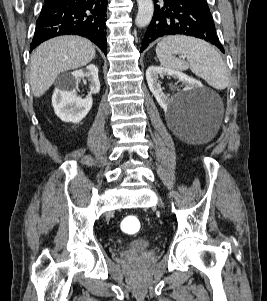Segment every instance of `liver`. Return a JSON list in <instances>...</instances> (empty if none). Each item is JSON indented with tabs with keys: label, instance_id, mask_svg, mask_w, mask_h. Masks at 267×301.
I'll list each match as a JSON object with an SVG mask.
<instances>
[{
	"label": "liver",
	"instance_id": "1",
	"mask_svg": "<svg viewBox=\"0 0 267 301\" xmlns=\"http://www.w3.org/2000/svg\"><path fill=\"white\" fill-rule=\"evenodd\" d=\"M95 47L88 39L67 35L50 39L34 51L30 63V86L35 97H41L57 76L90 63Z\"/></svg>",
	"mask_w": 267,
	"mask_h": 301
}]
</instances>
